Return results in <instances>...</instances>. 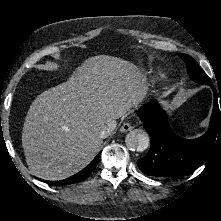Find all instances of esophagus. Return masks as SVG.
<instances>
[{
  "label": "esophagus",
  "mask_w": 221,
  "mask_h": 221,
  "mask_svg": "<svg viewBox=\"0 0 221 221\" xmlns=\"http://www.w3.org/2000/svg\"><path fill=\"white\" fill-rule=\"evenodd\" d=\"M132 128H133V127L131 126L130 123L125 122V123H123V125L121 126L120 131H121V132H128V131L132 130Z\"/></svg>",
  "instance_id": "esophagus-1"
}]
</instances>
